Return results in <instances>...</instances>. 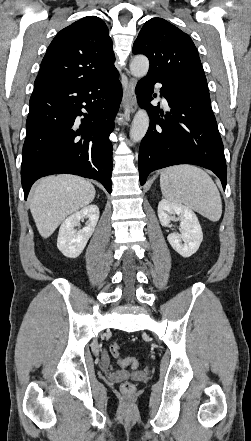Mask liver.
Instances as JSON below:
<instances>
[{"label":"liver","mask_w":251,"mask_h":441,"mask_svg":"<svg viewBox=\"0 0 251 441\" xmlns=\"http://www.w3.org/2000/svg\"><path fill=\"white\" fill-rule=\"evenodd\" d=\"M95 188L74 175L48 176L32 189L30 211L39 234L50 237L70 214L86 207L95 198Z\"/></svg>","instance_id":"obj_1"}]
</instances>
